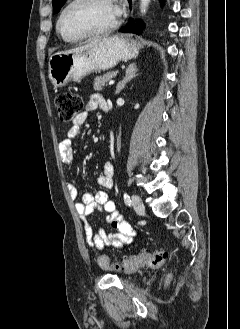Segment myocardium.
<instances>
[{"label":"myocardium","instance_id":"obj_1","mask_svg":"<svg viewBox=\"0 0 240 329\" xmlns=\"http://www.w3.org/2000/svg\"><path fill=\"white\" fill-rule=\"evenodd\" d=\"M88 0H71L70 3H68L63 10L61 11L58 21H57V30L60 33V35L62 36V38L66 41H80L86 38H90V37H94V36H99V35H103V34H107L110 33L112 31H114L120 24V20L119 18H117L111 25L98 29V30H94V31H90V32H86L84 34L81 35H77V36H72L69 35L63 28V21L65 18V15L68 13V11L73 8L74 6L86 2ZM112 2V0H110Z\"/></svg>","mask_w":240,"mask_h":329}]
</instances>
